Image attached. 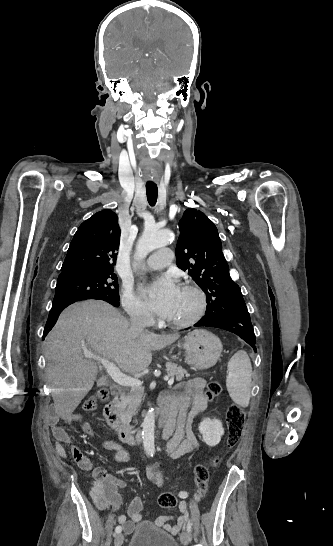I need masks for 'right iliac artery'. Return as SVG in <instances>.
Instances as JSON below:
<instances>
[{
  "label": "right iliac artery",
  "mask_w": 333,
  "mask_h": 546,
  "mask_svg": "<svg viewBox=\"0 0 333 546\" xmlns=\"http://www.w3.org/2000/svg\"><path fill=\"white\" fill-rule=\"evenodd\" d=\"M121 531H122V527H121V526H117V527L115 528V532H116V533H120Z\"/></svg>",
  "instance_id": "right-iliac-artery-1"
}]
</instances>
